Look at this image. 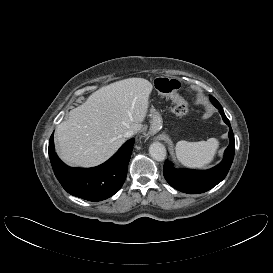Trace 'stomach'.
<instances>
[{"instance_id":"0dacf381","label":"stomach","mask_w":273,"mask_h":273,"mask_svg":"<svg viewBox=\"0 0 273 273\" xmlns=\"http://www.w3.org/2000/svg\"><path fill=\"white\" fill-rule=\"evenodd\" d=\"M156 91L164 97H172L176 94L177 89L174 86L173 80L166 76H158L154 79ZM151 130L157 132L162 127V117L159 112L152 106L150 108Z\"/></svg>"}]
</instances>
